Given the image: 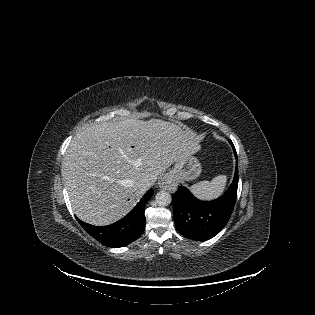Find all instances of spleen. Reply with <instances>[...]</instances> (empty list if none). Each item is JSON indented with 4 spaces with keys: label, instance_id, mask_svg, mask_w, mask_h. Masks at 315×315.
Listing matches in <instances>:
<instances>
[{
    "label": "spleen",
    "instance_id": "obj_1",
    "mask_svg": "<svg viewBox=\"0 0 315 315\" xmlns=\"http://www.w3.org/2000/svg\"><path fill=\"white\" fill-rule=\"evenodd\" d=\"M226 175H218L211 181H201L190 187L191 192L201 200L219 197L226 186Z\"/></svg>",
    "mask_w": 315,
    "mask_h": 315
}]
</instances>
